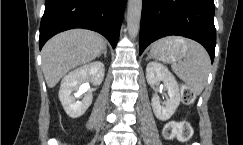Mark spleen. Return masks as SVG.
<instances>
[{"label": "spleen", "instance_id": "obj_1", "mask_svg": "<svg viewBox=\"0 0 243 145\" xmlns=\"http://www.w3.org/2000/svg\"><path fill=\"white\" fill-rule=\"evenodd\" d=\"M176 42H186L188 49L183 61L172 64L174 73L184 81L195 95L202 93L209 74L210 58L199 43L183 38Z\"/></svg>", "mask_w": 243, "mask_h": 145}]
</instances>
